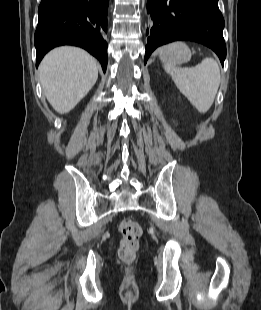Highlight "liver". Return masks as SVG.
<instances>
[{"label":"liver","instance_id":"6515ba94","mask_svg":"<svg viewBox=\"0 0 261 310\" xmlns=\"http://www.w3.org/2000/svg\"><path fill=\"white\" fill-rule=\"evenodd\" d=\"M43 92L60 114L70 112L90 91L98 78L94 57L77 47L50 51L39 66Z\"/></svg>","mask_w":261,"mask_h":310}]
</instances>
